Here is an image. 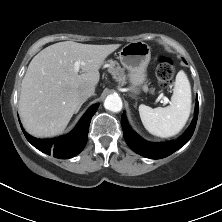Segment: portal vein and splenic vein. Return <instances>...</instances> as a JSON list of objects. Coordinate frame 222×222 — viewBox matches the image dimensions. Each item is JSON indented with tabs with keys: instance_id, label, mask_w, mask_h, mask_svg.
<instances>
[{
	"instance_id": "1",
	"label": "portal vein and splenic vein",
	"mask_w": 222,
	"mask_h": 222,
	"mask_svg": "<svg viewBox=\"0 0 222 222\" xmlns=\"http://www.w3.org/2000/svg\"><path fill=\"white\" fill-rule=\"evenodd\" d=\"M81 64H84V62H82V61H76V62L74 63V69H75L76 72H79V69H80V65H81ZM164 100L167 102V99H166V98H164Z\"/></svg>"
}]
</instances>
